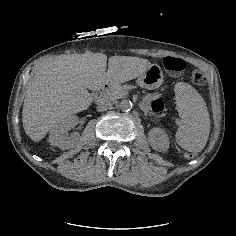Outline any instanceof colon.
Wrapping results in <instances>:
<instances>
[{"instance_id": "colon-1", "label": "colon", "mask_w": 236, "mask_h": 236, "mask_svg": "<svg viewBox=\"0 0 236 236\" xmlns=\"http://www.w3.org/2000/svg\"><path fill=\"white\" fill-rule=\"evenodd\" d=\"M162 64L167 72L180 73L185 70L187 64L183 58L167 56L163 58ZM190 82L196 86L203 85L206 78L201 70L196 69L190 75ZM151 111L157 117H164L166 114V107L164 101L155 97L151 102Z\"/></svg>"}]
</instances>
